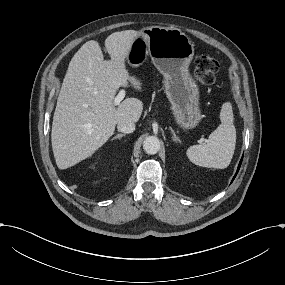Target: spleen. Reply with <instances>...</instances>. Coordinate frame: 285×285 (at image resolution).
<instances>
[{"label": "spleen", "instance_id": "1", "mask_svg": "<svg viewBox=\"0 0 285 285\" xmlns=\"http://www.w3.org/2000/svg\"><path fill=\"white\" fill-rule=\"evenodd\" d=\"M221 124L214 130L204 145L190 146L186 152L195 165L225 169L229 166L236 145V128L233 124L232 105L226 102L220 111Z\"/></svg>", "mask_w": 285, "mask_h": 285}]
</instances>
